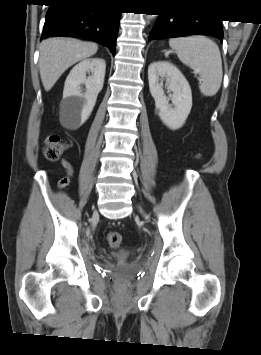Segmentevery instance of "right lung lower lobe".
Returning a JSON list of instances; mask_svg holds the SVG:
<instances>
[{
  "label": "right lung lower lobe",
  "instance_id": "98d812e1",
  "mask_svg": "<svg viewBox=\"0 0 261 355\" xmlns=\"http://www.w3.org/2000/svg\"><path fill=\"white\" fill-rule=\"evenodd\" d=\"M121 11L103 0H50L41 40L48 37L88 38L115 55Z\"/></svg>",
  "mask_w": 261,
  "mask_h": 355
}]
</instances>
